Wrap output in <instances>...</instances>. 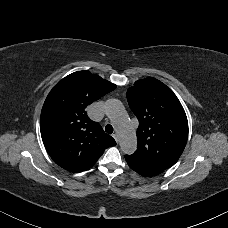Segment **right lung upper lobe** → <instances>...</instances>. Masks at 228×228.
<instances>
[{
	"instance_id": "1",
	"label": "right lung upper lobe",
	"mask_w": 228,
	"mask_h": 228,
	"mask_svg": "<svg viewBox=\"0 0 228 228\" xmlns=\"http://www.w3.org/2000/svg\"><path fill=\"white\" fill-rule=\"evenodd\" d=\"M115 88L89 71L74 72L53 87L41 111L40 130L55 163L69 171H84L95 164L106 148L116 145L85 111L91 102Z\"/></svg>"
}]
</instances>
